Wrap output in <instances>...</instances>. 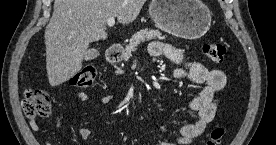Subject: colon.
Wrapping results in <instances>:
<instances>
[{
  "instance_id": "colon-1",
  "label": "colon",
  "mask_w": 276,
  "mask_h": 145,
  "mask_svg": "<svg viewBox=\"0 0 276 145\" xmlns=\"http://www.w3.org/2000/svg\"><path fill=\"white\" fill-rule=\"evenodd\" d=\"M203 53L214 63H221L226 54V47L222 43H207L203 46ZM97 75V68L86 65L78 70L69 80L73 87H90ZM22 108L25 115L30 119H44L51 115L50 94L41 88L28 89L24 93ZM224 135L222 127H215L206 141V145H218Z\"/></svg>"
}]
</instances>
